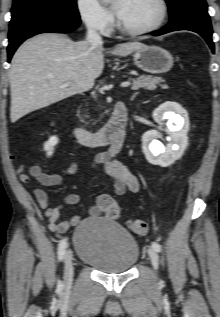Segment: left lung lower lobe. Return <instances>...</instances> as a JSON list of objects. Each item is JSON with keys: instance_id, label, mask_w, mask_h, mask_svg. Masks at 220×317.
Returning <instances> with one entry per match:
<instances>
[{"instance_id": "1", "label": "left lung lower lobe", "mask_w": 220, "mask_h": 317, "mask_svg": "<svg viewBox=\"0 0 220 317\" xmlns=\"http://www.w3.org/2000/svg\"><path fill=\"white\" fill-rule=\"evenodd\" d=\"M177 30H189L200 34L214 52L212 27L206 3H188L176 16L170 17V22L164 28L152 32L151 35L158 36Z\"/></svg>"}]
</instances>
